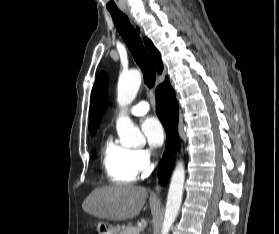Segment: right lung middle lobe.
I'll return each instance as SVG.
<instances>
[{"mask_svg":"<svg viewBox=\"0 0 279 234\" xmlns=\"http://www.w3.org/2000/svg\"><path fill=\"white\" fill-rule=\"evenodd\" d=\"M93 156L96 157V153L93 151Z\"/></svg>","mask_w":279,"mask_h":234,"instance_id":"obj_1","label":"right lung middle lobe"}]
</instances>
